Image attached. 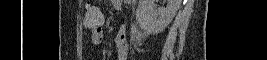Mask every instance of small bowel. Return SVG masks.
I'll use <instances>...</instances> for the list:
<instances>
[{"label": "small bowel", "mask_w": 267, "mask_h": 60, "mask_svg": "<svg viewBox=\"0 0 267 60\" xmlns=\"http://www.w3.org/2000/svg\"><path fill=\"white\" fill-rule=\"evenodd\" d=\"M123 1L114 0L113 5L115 8H120ZM91 43L94 46H100L103 41V29L102 27L92 29L90 35ZM115 46H116V59L117 60H127L128 59V43H127V28L125 25L120 26L116 37H115Z\"/></svg>", "instance_id": "obj_1"}]
</instances>
